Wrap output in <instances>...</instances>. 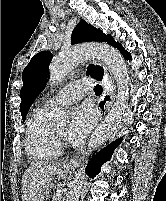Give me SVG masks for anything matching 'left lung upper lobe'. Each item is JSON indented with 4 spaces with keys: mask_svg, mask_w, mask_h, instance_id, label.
Segmentation results:
<instances>
[{
    "mask_svg": "<svg viewBox=\"0 0 166 201\" xmlns=\"http://www.w3.org/2000/svg\"><path fill=\"white\" fill-rule=\"evenodd\" d=\"M86 41L107 42L122 51L124 48L119 42H115L111 35H105L100 29L81 20L72 32V43H80ZM52 59V54L49 51L37 53L25 67L22 73L23 87L20 91V111L23 121L27 112L37 98L39 93L44 89L46 80L49 74V62ZM103 68L101 66L89 65L87 75L95 78L103 76Z\"/></svg>",
    "mask_w": 166,
    "mask_h": 201,
    "instance_id": "1",
    "label": "left lung upper lobe"
}]
</instances>
